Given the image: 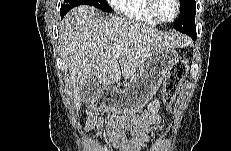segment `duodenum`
<instances>
[{
  "label": "duodenum",
  "mask_w": 231,
  "mask_h": 151,
  "mask_svg": "<svg viewBox=\"0 0 231 151\" xmlns=\"http://www.w3.org/2000/svg\"><path fill=\"white\" fill-rule=\"evenodd\" d=\"M102 102H103L105 105H107V104H108V101L105 99V97H104V96L102 97Z\"/></svg>",
  "instance_id": "obj_1"
}]
</instances>
